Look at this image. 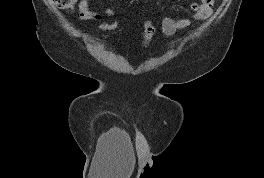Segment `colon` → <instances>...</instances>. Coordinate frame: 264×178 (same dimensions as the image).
Masks as SVG:
<instances>
[{"label": "colon", "instance_id": "colon-1", "mask_svg": "<svg viewBox=\"0 0 264 178\" xmlns=\"http://www.w3.org/2000/svg\"><path fill=\"white\" fill-rule=\"evenodd\" d=\"M76 2L77 0H54V3L58 8L67 11L73 10ZM118 24L119 23L116 20L108 21V22H104L101 25V28L104 32L109 33L115 31L118 28ZM156 30H157V23L153 19H148L145 22L142 31V41L145 46H147L150 43Z\"/></svg>", "mask_w": 264, "mask_h": 178}]
</instances>
